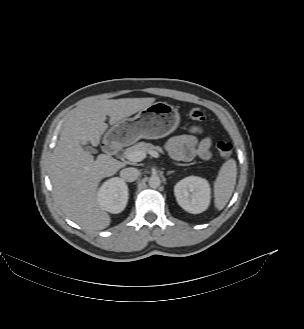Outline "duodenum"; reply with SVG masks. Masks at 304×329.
<instances>
[{
	"mask_svg": "<svg viewBox=\"0 0 304 329\" xmlns=\"http://www.w3.org/2000/svg\"><path fill=\"white\" fill-rule=\"evenodd\" d=\"M103 149L105 154L107 155H114L120 150V148L116 144L109 141L104 144Z\"/></svg>",
	"mask_w": 304,
	"mask_h": 329,
	"instance_id": "duodenum-1",
	"label": "duodenum"
}]
</instances>
